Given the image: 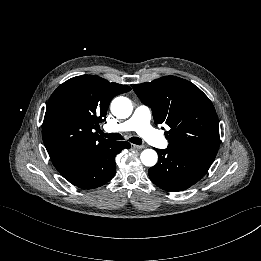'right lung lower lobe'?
I'll use <instances>...</instances> for the list:
<instances>
[{
  "label": "right lung lower lobe",
  "instance_id": "obj_1",
  "mask_svg": "<svg viewBox=\"0 0 261 261\" xmlns=\"http://www.w3.org/2000/svg\"><path fill=\"white\" fill-rule=\"evenodd\" d=\"M129 148L130 143L127 141H116L111 147L81 156L73 164L59 172L65 179L79 188L93 189L100 187L115 175L116 154Z\"/></svg>",
  "mask_w": 261,
  "mask_h": 261
}]
</instances>
